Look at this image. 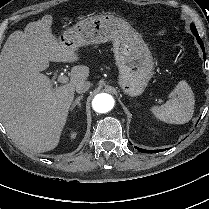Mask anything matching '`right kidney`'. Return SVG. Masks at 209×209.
<instances>
[{
	"label": "right kidney",
	"mask_w": 209,
	"mask_h": 209,
	"mask_svg": "<svg viewBox=\"0 0 209 209\" xmlns=\"http://www.w3.org/2000/svg\"><path fill=\"white\" fill-rule=\"evenodd\" d=\"M70 136H71L72 139H74V138L76 137V132H72V133L70 134Z\"/></svg>",
	"instance_id": "ca27d5eb"
}]
</instances>
